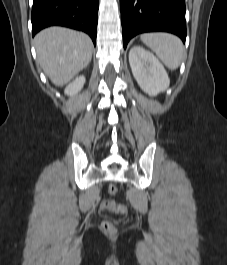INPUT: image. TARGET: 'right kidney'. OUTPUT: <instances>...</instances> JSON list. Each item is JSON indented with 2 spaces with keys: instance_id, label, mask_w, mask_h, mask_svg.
Returning a JSON list of instances; mask_svg holds the SVG:
<instances>
[{
  "instance_id": "right-kidney-1",
  "label": "right kidney",
  "mask_w": 227,
  "mask_h": 265,
  "mask_svg": "<svg viewBox=\"0 0 227 265\" xmlns=\"http://www.w3.org/2000/svg\"><path fill=\"white\" fill-rule=\"evenodd\" d=\"M85 84V77L83 75L76 77L74 81L69 83L65 88V94L69 96H73L77 94Z\"/></svg>"
}]
</instances>
